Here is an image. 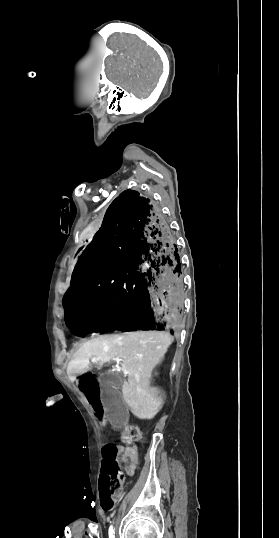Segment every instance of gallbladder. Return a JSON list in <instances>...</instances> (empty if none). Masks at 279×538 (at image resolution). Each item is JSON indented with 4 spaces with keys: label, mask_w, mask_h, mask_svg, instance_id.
<instances>
[{
    "label": "gallbladder",
    "mask_w": 279,
    "mask_h": 538,
    "mask_svg": "<svg viewBox=\"0 0 279 538\" xmlns=\"http://www.w3.org/2000/svg\"><path fill=\"white\" fill-rule=\"evenodd\" d=\"M122 372H104L98 378L101 384L103 396L102 403L108 406L106 419L108 423H114L116 428H123L125 421L130 419V414L124 407V401L121 398L119 390L123 384Z\"/></svg>",
    "instance_id": "1"
}]
</instances>
